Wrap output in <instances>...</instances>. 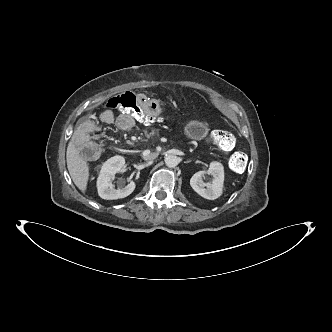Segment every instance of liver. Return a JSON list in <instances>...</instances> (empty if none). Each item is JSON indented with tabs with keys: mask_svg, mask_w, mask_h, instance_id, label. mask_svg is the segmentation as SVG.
I'll use <instances>...</instances> for the list:
<instances>
[{
	"mask_svg": "<svg viewBox=\"0 0 332 332\" xmlns=\"http://www.w3.org/2000/svg\"><path fill=\"white\" fill-rule=\"evenodd\" d=\"M66 161L69 174L75 185L85 191L89 178V166L84 161L73 141H70L66 151Z\"/></svg>",
	"mask_w": 332,
	"mask_h": 332,
	"instance_id": "1",
	"label": "liver"
}]
</instances>
